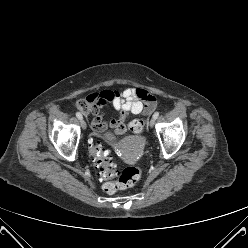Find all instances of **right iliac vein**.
<instances>
[{
    "label": "right iliac vein",
    "instance_id": "1",
    "mask_svg": "<svg viewBox=\"0 0 248 248\" xmlns=\"http://www.w3.org/2000/svg\"><path fill=\"white\" fill-rule=\"evenodd\" d=\"M81 126L84 130L86 129V123L83 119H81Z\"/></svg>",
    "mask_w": 248,
    "mask_h": 248
}]
</instances>
